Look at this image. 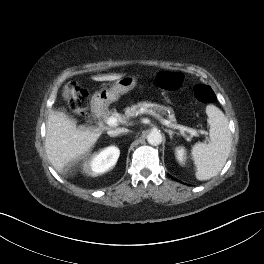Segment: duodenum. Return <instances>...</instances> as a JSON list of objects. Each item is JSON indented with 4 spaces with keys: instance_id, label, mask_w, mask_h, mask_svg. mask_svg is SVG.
I'll list each match as a JSON object with an SVG mask.
<instances>
[{
    "instance_id": "410a0bca",
    "label": "duodenum",
    "mask_w": 264,
    "mask_h": 264,
    "mask_svg": "<svg viewBox=\"0 0 264 264\" xmlns=\"http://www.w3.org/2000/svg\"><path fill=\"white\" fill-rule=\"evenodd\" d=\"M92 112L97 117L98 120L102 119V109L99 105H94L92 108Z\"/></svg>"
}]
</instances>
